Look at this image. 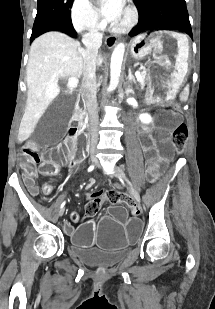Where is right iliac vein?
Instances as JSON below:
<instances>
[{
	"label": "right iliac vein",
	"instance_id": "1",
	"mask_svg": "<svg viewBox=\"0 0 215 309\" xmlns=\"http://www.w3.org/2000/svg\"><path fill=\"white\" fill-rule=\"evenodd\" d=\"M91 161H92V162H95V161H96L95 158H94V156H91ZM64 210H65V208L63 207V208L59 211L58 216H62L63 213H64Z\"/></svg>",
	"mask_w": 215,
	"mask_h": 309
}]
</instances>
